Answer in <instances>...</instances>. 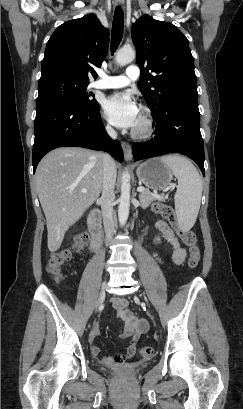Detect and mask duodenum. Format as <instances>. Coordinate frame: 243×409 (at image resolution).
<instances>
[{"instance_id": "obj_1", "label": "duodenum", "mask_w": 243, "mask_h": 409, "mask_svg": "<svg viewBox=\"0 0 243 409\" xmlns=\"http://www.w3.org/2000/svg\"><path fill=\"white\" fill-rule=\"evenodd\" d=\"M101 213L94 210L90 213L87 219L89 233H90V248L93 252H97L101 245L102 224Z\"/></svg>"}]
</instances>
